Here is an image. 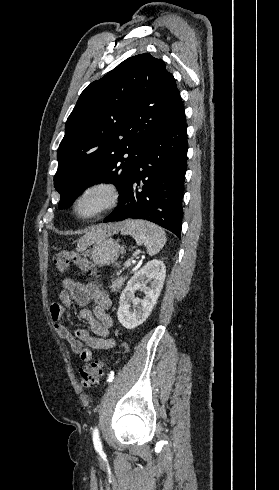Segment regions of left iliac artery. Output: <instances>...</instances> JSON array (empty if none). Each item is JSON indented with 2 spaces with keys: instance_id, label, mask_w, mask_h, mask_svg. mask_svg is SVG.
<instances>
[{
  "instance_id": "1",
  "label": "left iliac artery",
  "mask_w": 279,
  "mask_h": 490,
  "mask_svg": "<svg viewBox=\"0 0 279 490\" xmlns=\"http://www.w3.org/2000/svg\"><path fill=\"white\" fill-rule=\"evenodd\" d=\"M113 379H114V372L111 371L107 381L112 382ZM93 443L96 450H102V444L99 438L98 430L96 428L93 431Z\"/></svg>"
}]
</instances>
